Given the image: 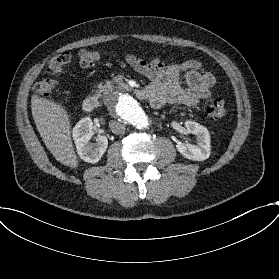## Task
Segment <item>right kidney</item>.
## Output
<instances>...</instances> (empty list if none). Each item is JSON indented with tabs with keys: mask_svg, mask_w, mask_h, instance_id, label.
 Here are the masks:
<instances>
[{
	"mask_svg": "<svg viewBox=\"0 0 279 279\" xmlns=\"http://www.w3.org/2000/svg\"><path fill=\"white\" fill-rule=\"evenodd\" d=\"M93 135V123L90 118L80 120L73 129L78 155L88 163L99 162L108 147V141L104 135H98L96 143H91L90 139Z\"/></svg>",
	"mask_w": 279,
	"mask_h": 279,
	"instance_id": "obj_1",
	"label": "right kidney"
}]
</instances>
